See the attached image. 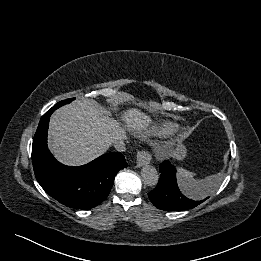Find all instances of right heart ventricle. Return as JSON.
<instances>
[{
    "instance_id": "right-heart-ventricle-1",
    "label": "right heart ventricle",
    "mask_w": 261,
    "mask_h": 261,
    "mask_svg": "<svg viewBox=\"0 0 261 261\" xmlns=\"http://www.w3.org/2000/svg\"><path fill=\"white\" fill-rule=\"evenodd\" d=\"M176 124L169 122V121H164L161 122L156 128H154L151 132L154 134H168L171 133L176 129Z\"/></svg>"
}]
</instances>
